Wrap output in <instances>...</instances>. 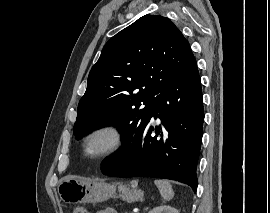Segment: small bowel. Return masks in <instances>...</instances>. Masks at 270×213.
I'll list each match as a JSON object with an SVG mask.
<instances>
[{
	"instance_id": "1",
	"label": "small bowel",
	"mask_w": 270,
	"mask_h": 213,
	"mask_svg": "<svg viewBox=\"0 0 270 213\" xmlns=\"http://www.w3.org/2000/svg\"><path fill=\"white\" fill-rule=\"evenodd\" d=\"M97 213H118L114 208H106L104 210H100Z\"/></svg>"
}]
</instances>
